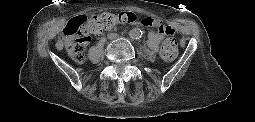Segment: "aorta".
Returning <instances> with one entry per match:
<instances>
[{
  "label": "aorta",
  "instance_id": "obj_1",
  "mask_svg": "<svg viewBox=\"0 0 255 122\" xmlns=\"http://www.w3.org/2000/svg\"><path fill=\"white\" fill-rule=\"evenodd\" d=\"M129 35L134 39H138L141 37L142 32L139 28H134L129 32Z\"/></svg>",
  "mask_w": 255,
  "mask_h": 122
}]
</instances>
